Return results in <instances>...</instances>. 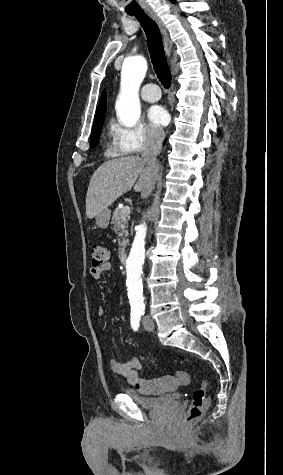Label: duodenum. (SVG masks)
Segmentation results:
<instances>
[{
    "instance_id": "1",
    "label": "duodenum",
    "mask_w": 283,
    "mask_h": 475,
    "mask_svg": "<svg viewBox=\"0 0 283 475\" xmlns=\"http://www.w3.org/2000/svg\"><path fill=\"white\" fill-rule=\"evenodd\" d=\"M127 259H128V254L126 252H122L120 254V261L125 264L127 262Z\"/></svg>"
}]
</instances>
